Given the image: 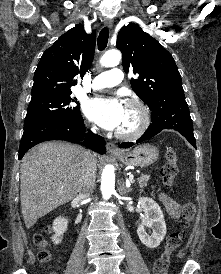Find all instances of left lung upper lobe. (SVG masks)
I'll use <instances>...</instances> for the list:
<instances>
[{
	"label": "left lung upper lobe",
	"instance_id": "obj_1",
	"mask_svg": "<svg viewBox=\"0 0 221 274\" xmlns=\"http://www.w3.org/2000/svg\"><path fill=\"white\" fill-rule=\"evenodd\" d=\"M116 47L122 52L124 71L133 70L138 75L131 79L132 89L150 107L152 115L186 102L172 55L137 24L121 28Z\"/></svg>",
	"mask_w": 221,
	"mask_h": 274
}]
</instances>
